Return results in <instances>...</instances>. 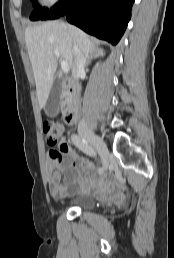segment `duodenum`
Returning <instances> with one entry per match:
<instances>
[{
	"label": "duodenum",
	"mask_w": 174,
	"mask_h": 258,
	"mask_svg": "<svg viewBox=\"0 0 174 258\" xmlns=\"http://www.w3.org/2000/svg\"><path fill=\"white\" fill-rule=\"evenodd\" d=\"M64 92L67 101L65 119L68 124H74L78 116V99L76 96V89L71 85H66Z\"/></svg>",
	"instance_id": "410a0bca"
}]
</instances>
